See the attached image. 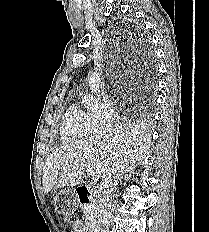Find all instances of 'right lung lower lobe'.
Masks as SVG:
<instances>
[{
	"label": "right lung lower lobe",
	"instance_id": "1",
	"mask_svg": "<svg viewBox=\"0 0 209 232\" xmlns=\"http://www.w3.org/2000/svg\"><path fill=\"white\" fill-rule=\"evenodd\" d=\"M140 55L142 60L145 62V65L147 66L146 77L148 80L152 76V69L155 64V55L149 46L144 47Z\"/></svg>",
	"mask_w": 209,
	"mask_h": 232
}]
</instances>
